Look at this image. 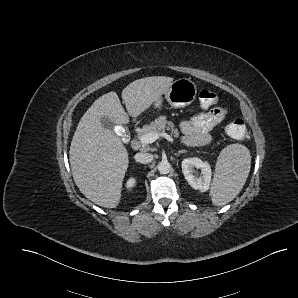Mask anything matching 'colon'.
Masks as SVG:
<instances>
[{
  "mask_svg": "<svg viewBox=\"0 0 298 298\" xmlns=\"http://www.w3.org/2000/svg\"><path fill=\"white\" fill-rule=\"evenodd\" d=\"M199 102L204 108H208L217 102V96L213 91L203 89L199 92ZM225 132L228 136L236 140H246L249 138V132L245 122L242 119L231 121L226 127Z\"/></svg>",
  "mask_w": 298,
  "mask_h": 298,
  "instance_id": "5ec220e1",
  "label": "colon"
}]
</instances>
